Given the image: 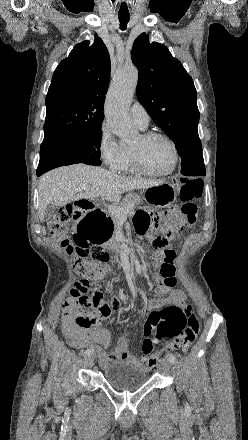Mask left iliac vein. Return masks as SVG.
I'll use <instances>...</instances> for the list:
<instances>
[{
	"label": "left iliac vein",
	"mask_w": 248,
	"mask_h": 440,
	"mask_svg": "<svg viewBox=\"0 0 248 440\" xmlns=\"http://www.w3.org/2000/svg\"><path fill=\"white\" fill-rule=\"evenodd\" d=\"M162 369L166 374H170L171 372V362L169 359H164L162 362Z\"/></svg>",
	"instance_id": "4c4485c4"
}]
</instances>
